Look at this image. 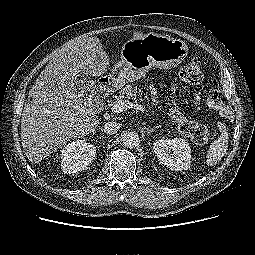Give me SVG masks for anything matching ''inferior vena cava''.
Masks as SVG:
<instances>
[{
    "instance_id": "602c4592",
    "label": "inferior vena cava",
    "mask_w": 255,
    "mask_h": 255,
    "mask_svg": "<svg viewBox=\"0 0 255 255\" xmlns=\"http://www.w3.org/2000/svg\"><path fill=\"white\" fill-rule=\"evenodd\" d=\"M120 127H121V124L117 122H108L104 125L103 130L106 134L113 135L117 133Z\"/></svg>"
}]
</instances>
